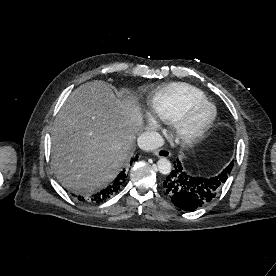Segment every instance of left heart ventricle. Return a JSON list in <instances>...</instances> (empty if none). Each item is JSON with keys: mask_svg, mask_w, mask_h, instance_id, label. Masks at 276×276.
Instances as JSON below:
<instances>
[{"mask_svg": "<svg viewBox=\"0 0 276 276\" xmlns=\"http://www.w3.org/2000/svg\"><path fill=\"white\" fill-rule=\"evenodd\" d=\"M211 114L212 110L208 106H202L195 109L189 117V128H199L210 118Z\"/></svg>", "mask_w": 276, "mask_h": 276, "instance_id": "obj_1", "label": "left heart ventricle"}]
</instances>
